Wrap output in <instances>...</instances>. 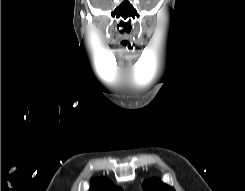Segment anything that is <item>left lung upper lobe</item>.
Wrapping results in <instances>:
<instances>
[{
    "label": "left lung upper lobe",
    "mask_w": 245,
    "mask_h": 191,
    "mask_svg": "<svg viewBox=\"0 0 245 191\" xmlns=\"http://www.w3.org/2000/svg\"><path fill=\"white\" fill-rule=\"evenodd\" d=\"M143 188L145 191H175L174 188L162 183L156 178L145 181L143 184Z\"/></svg>",
    "instance_id": "5c2ea615"
}]
</instances>
